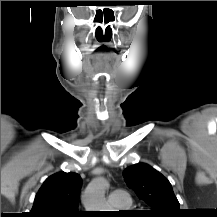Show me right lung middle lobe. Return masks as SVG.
<instances>
[{"mask_svg":"<svg viewBox=\"0 0 217 217\" xmlns=\"http://www.w3.org/2000/svg\"><path fill=\"white\" fill-rule=\"evenodd\" d=\"M66 217H74V216H66Z\"/></svg>","mask_w":217,"mask_h":217,"instance_id":"obj_1","label":"right lung middle lobe"}]
</instances>
